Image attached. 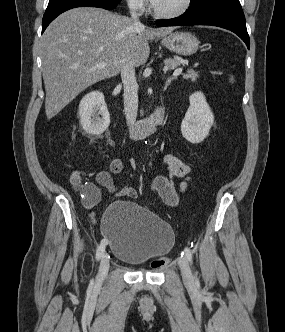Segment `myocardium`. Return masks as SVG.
I'll return each mask as SVG.
<instances>
[{
	"label": "myocardium",
	"instance_id": "f54148a6",
	"mask_svg": "<svg viewBox=\"0 0 285 332\" xmlns=\"http://www.w3.org/2000/svg\"><path fill=\"white\" fill-rule=\"evenodd\" d=\"M193 0H184L183 5L173 12H161L158 11L155 6H153L152 12L153 15L160 19H176L184 15L191 7Z\"/></svg>",
	"mask_w": 285,
	"mask_h": 332
}]
</instances>
